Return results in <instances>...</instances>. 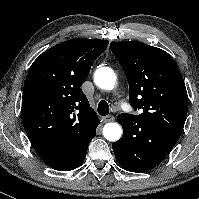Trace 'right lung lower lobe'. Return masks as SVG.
Instances as JSON below:
<instances>
[{"label": "right lung lower lobe", "mask_w": 199, "mask_h": 199, "mask_svg": "<svg viewBox=\"0 0 199 199\" xmlns=\"http://www.w3.org/2000/svg\"><path fill=\"white\" fill-rule=\"evenodd\" d=\"M96 131L87 137L83 143H75V145L71 148V152L69 153V157H66L64 160L56 159V157H42L41 159L51 168L59 171H70L79 167L86 156L87 148L90 141L95 137ZM69 149V147H68Z\"/></svg>", "instance_id": "right-lung-lower-lobe-1"}]
</instances>
